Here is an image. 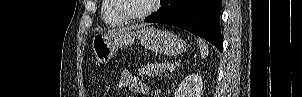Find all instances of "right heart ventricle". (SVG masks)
<instances>
[{
    "mask_svg": "<svg viewBox=\"0 0 302 97\" xmlns=\"http://www.w3.org/2000/svg\"><path fill=\"white\" fill-rule=\"evenodd\" d=\"M101 18L106 25L111 27L121 26L126 23V20L114 12L111 0H102Z\"/></svg>",
    "mask_w": 302,
    "mask_h": 97,
    "instance_id": "e07e8e85",
    "label": "right heart ventricle"
}]
</instances>
